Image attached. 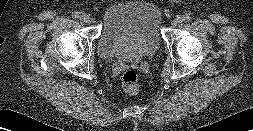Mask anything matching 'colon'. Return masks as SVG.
I'll list each match as a JSON object with an SVG mask.
<instances>
[{"label": "colon", "mask_w": 253, "mask_h": 131, "mask_svg": "<svg viewBox=\"0 0 253 131\" xmlns=\"http://www.w3.org/2000/svg\"><path fill=\"white\" fill-rule=\"evenodd\" d=\"M122 86L124 90L132 95L139 91V78L135 71L127 70L122 75Z\"/></svg>", "instance_id": "obj_1"}]
</instances>
